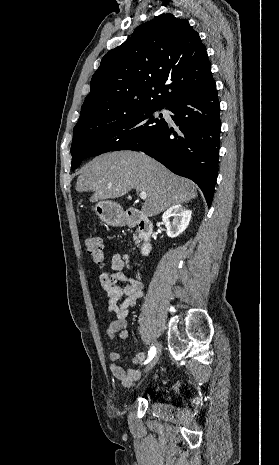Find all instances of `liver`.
I'll list each match as a JSON object with an SVG mask.
<instances>
[{
	"label": "liver",
	"mask_w": 279,
	"mask_h": 465,
	"mask_svg": "<svg viewBox=\"0 0 279 465\" xmlns=\"http://www.w3.org/2000/svg\"><path fill=\"white\" fill-rule=\"evenodd\" d=\"M132 189L146 192L142 213L147 217L197 196L192 181L135 151H115L95 157L80 170L76 182L78 192H94L90 202L122 197Z\"/></svg>",
	"instance_id": "1"
}]
</instances>
